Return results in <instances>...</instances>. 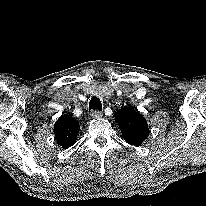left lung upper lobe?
I'll use <instances>...</instances> for the list:
<instances>
[{
	"label": "left lung upper lobe",
	"instance_id": "1",
	"mask_svg": "<svg viewBox=\"0 0 206 206\" xmlns=\"http://www.w3.org/2000/svg\"><path fill=\"white\" fill-rule=\"evenodd\" d=\"M114 116L128 144L139 146L149 136L146 119L133 108H121Z\"/></svg>",
	"mask_w": 206,
	"mask_h": 206
}]
</instances>
